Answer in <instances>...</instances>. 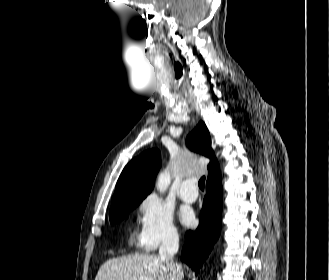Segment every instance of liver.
Segmentation results:
<instances>
[{
	"instance_id": "1",
	"label": "liver",
	"mask_w": 329,
	"mask_h": 280,
	"mask_svg": "<svg viewBox=\"0 0 329 280\" xmlns=\"http://www.w3.org/2000/svg\"><path fill=\"white\" fill-rule=\"evenodd\" d=\"M157 255L133 254L107 260L98 270L95 280H182Z\"/></svg>"
}]
</instances>
